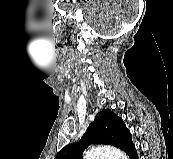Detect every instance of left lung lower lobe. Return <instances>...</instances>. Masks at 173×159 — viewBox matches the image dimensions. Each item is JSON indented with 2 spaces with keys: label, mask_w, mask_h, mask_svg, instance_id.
<instances>
[{
  "label": "left lung lower lobe",
  "mask_w": 173,
  "mask_h": 159,
  "mask_svg": "<svg viewBox=\"0 0 173 159\" xmlns=\"http://www.w3.org/2000/svg\"><path fill=\"white\" fill-rule=\"evenodd\" d=\"M126 153L130 159H139L134 145Z\"/></svg>",
  "instance_id": "left-lung-lower-lobe-1"
}]
</instances>
